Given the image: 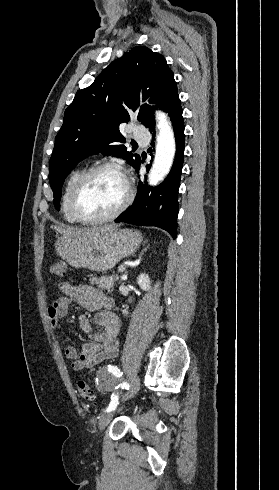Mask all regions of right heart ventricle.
Wrapping results in <instances>:
<instances>
[{
	"instance_id": "e07e8e85",
	"label": "right heart ventricle",
	"mask_w": 279,
	"mask_h": 490,
	"mask_svg": "<svg viewBox=\"0 0 279 490\" xmlns=\"http://www.w3.org/2000/svg\"><path fill=\"white\" fill-rule=\"evenodd\" d=\"M83 172L84 170L82 168H77L71 171V173L66 178L62 189L61 213L64 220L67 223L73 225L80 224V221H78V219L76 218V216L72 211V206H71L72 194H73L75 184Z\"/></svg>"
}]
</instances>
